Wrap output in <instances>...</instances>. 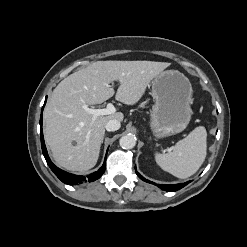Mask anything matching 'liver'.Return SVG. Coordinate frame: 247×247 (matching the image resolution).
Here are the masks:
<instances>
[{
	"label": "liver",
	"instance_id": "liver-1",
	"mask_svg": "<svg viewBox=\"0 0 247 247\" xmlns=\"http://www.w3.org/2000/svg\"><path fill=\"white\" fill-rule=\"evenodd\" d=\"M171 64L155 61H97L62 80L44 110V137L56 164L69 171L84 172L98 160L109 120L122 121V112L106 116L87 113L83 105L101 104L114 95L110 86L119 81L115 99L137 103L147 86ZM75 142V145L73 144Z\"/></svg>",
	"mask_w": 247,
	"mask_h": 247
}]
</instances>
